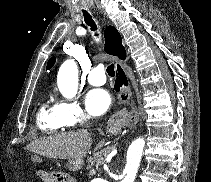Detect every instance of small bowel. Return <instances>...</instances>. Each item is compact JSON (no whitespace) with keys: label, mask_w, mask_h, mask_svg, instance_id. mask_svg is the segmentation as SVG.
Wrapping results in <instances>:
<instances>
[{"label":"small bowel","mask_w":211,"mask_h":182,"mask_svg":"<svg viewBox=\"0 0 211 182\" xmlns=\"http://www.w3.org/2000/svg\"><path fill=\"white\" fill-rule=\"evenodd\" d=\"M45 173H46V172H42V173H41V178L46 182V180L44 179ZM68 182H74V181L69 177Z\"/></svg>","instance_id":"small-bowel-1"}]
</instances>
